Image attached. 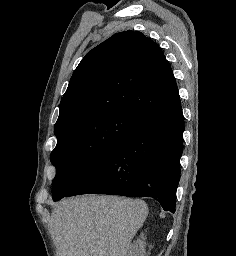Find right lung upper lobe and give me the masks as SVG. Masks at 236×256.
<instances>
[{
    "label": "right lung upper lobe",
    "instance_id": "cb5924a9",
    "mask_svg": "<svg viewBox=\"0 0 236 256\" xmlns=\"http://www.w3.org/2000/svg\"><path fill=\"white\" fill-rule=\"evenodd\" d=\"M179 98L169 62L144 34L125 31L92 49L60 102L55 133L97 116L126 111L141 121Z\"/></svg>",
    "mask_w": 236,
    "mask_h": 256
}]
</instances>
